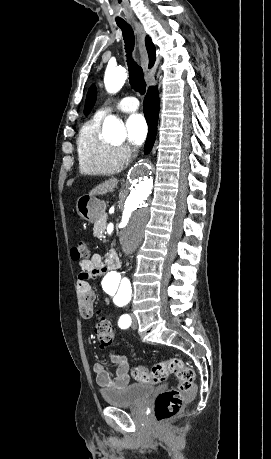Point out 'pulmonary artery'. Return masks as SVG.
Wrapping results in <instances>:
<instances>
[{
	"label": "pulmonary artery",
	"mask_w": 271,
	"mask_h": 459,
	"mask_svg": "<svg viewBox=\"0 0 271 459\" xmlns=\"http://www.w3.org/2000/svg\"><path fill=\"white\" fill-rule=\"evenodd\" d=\"M113 108H116L123 112H133L139 108V103L138 101H136L135 97L120 98L119 102H117L116 104L100 108L95 113V117L101 120L108 113H110Z\"/></svg>",
	"instance_id": "e3ab8cb5"
}]
</instances>
